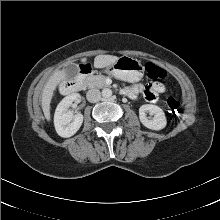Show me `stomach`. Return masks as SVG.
I'll return each instance as SVG.
<instances>
[{
    "label": "stomach",
    "instance_id": "0dacf381",
    "mask_svg": "<svg viewBox=\"0 0 220 220\" xmlns=\"http://www.w3.org/2000/svg\"><path fill=\"white\" fill-rule=\"evenodd\" d=\"M105 72L118 79L134 83L142 79L144 66L135 58L122 56L115 63L106 67Z\"/></svg>",
    "mask_w": 220,
    "mask_h": 220
}]
</instances>
